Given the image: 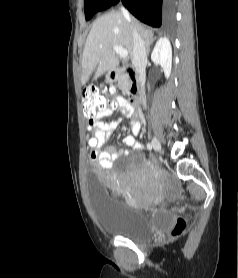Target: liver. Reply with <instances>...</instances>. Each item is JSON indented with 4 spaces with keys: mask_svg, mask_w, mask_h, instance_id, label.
Returning a JSON list of instances; mask_svg holds the SVG:
<instances>
[{
    "mask_svg": "<svg viewBox=\"0 0 238 278\" xmlns=\"http://www.w3.org/2000/svg\"><path fill=\"white\" fill-rule=\"evenodd\" d=\"M131 21L142 39L146 42L153 39L151 29L145 28L135 19H131ZM115 45L126 49L132 57V27L123 13L119 11L106 13L93 23L82 55L83 75L81 82L83 86L86 85L94 72V77L98 78L105 72L117 68L119 60L113 50Z\"/></svg>",
    "mask_w": 238,
    "mask_h": 278,
    "instance_id": "liver-1",
    "label": "liver"
}]
</instances>
